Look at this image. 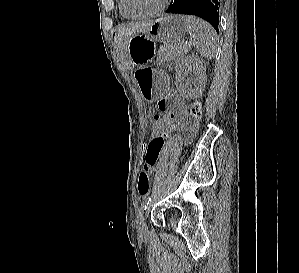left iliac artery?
<instances>
[{"label": "left iliac artery", "instance_id": "left-iliac-artery-1", "mask_svg": "<svg viewBox=\"0 0 299 273\" xmlns=\"http://www.w3.org/2000/svg\"><path fill=\"white\" fill-rule=\"evenodd\" d=\"M151 199H152L151 196H150V197H147V198L143 201L140 210H145V209L147 208L149 202L151 201Z\"/></svg>", "mask_w": 299, "mask_h": 273}]
</instances>
